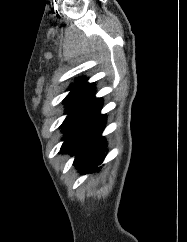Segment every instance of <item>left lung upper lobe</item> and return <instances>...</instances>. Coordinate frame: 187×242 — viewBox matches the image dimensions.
<instances>
[{
    "label": "left lung upper lobe",
    "instance_id": "obj_1",
    "mask_svg": "<svg viewBox=\"0 0 187 242\" xmlns=\"http://www.w3.org/2000/svg\"><path fill=\"white\" fill-rule=\"evenodd\" d=\"M70 92L63 100L67 114L61 125L64 143L60 151L67 153L76 141L104 115L102 98L95 97V84L88 83L86 78H77L69 87Z\"/></svg>",
    "mask_w": 187,
    "mask_h": 242
}]
</instances>
